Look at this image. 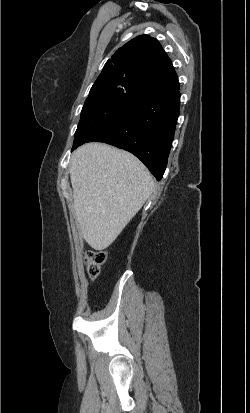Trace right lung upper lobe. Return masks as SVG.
<instances>
[{"mask_svg": "<svg viewBox=\"0 0 250 413\" xmlns=\"http://www.w3.org/2000/svg\"><path fill=\"white\" fill-rule=\"evenodd\" d=\"M121 87L141 95L173 89L178 77L160 43L148 35L138 36L109 59L92 88Z\"/></svg>", "mask_w": 250, "mask_h": 413, "instance_id": "right-lung-upper-lobe-1", "label": "right lung upper lobe"}]
</instances>
